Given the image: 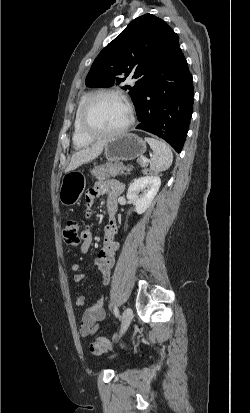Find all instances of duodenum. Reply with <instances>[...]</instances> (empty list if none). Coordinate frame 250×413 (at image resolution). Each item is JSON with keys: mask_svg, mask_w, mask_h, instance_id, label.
<instances>
[{"mask_svg": "<svg viewBox=\"0 0 250 413\" xmlns=\"http://www.w3.org/2000/svg\"><path fill=\"white\" fill-rule=\"evenodd\" d=\"M114 216V213L112 211L109 212V217L112 218Z\"/></svg>", "mask_w": 250, "mask_h": 413, "instance_id": "obj_1", "label": "duodenum"}]
</instances>
